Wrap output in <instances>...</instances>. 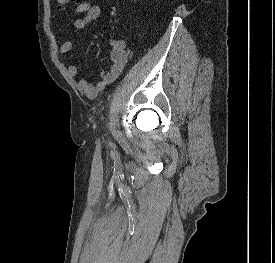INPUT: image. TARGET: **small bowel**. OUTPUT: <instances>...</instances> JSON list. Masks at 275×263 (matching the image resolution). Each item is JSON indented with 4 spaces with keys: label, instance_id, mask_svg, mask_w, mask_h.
<instances>
[{
    "label": "small bowel",
    "instance_id": "obj_1",
    "mask_svg": "<svg viewBox=\"0 0 275 263\" xmlns=\"http://www.w3.org/2000/svg\"><path fill=\"white\" fill-rule=\"evenodd\" d=\"M101 14V8L97 4L88 1L80 2L73 15L80 16L74 20V27L77 30L85 29L89 24L95 21ZM111 52L110 61L111 66L109 70L101 73L100 79L95 84H89L84 78L76 80V87L83 92L88 98H95L103 91L108 85L113 83L122 73L127 62V45L124 40L112 39L110 40ZM73 48L71 41H64L60 46V53L66 54ZM68 75L75 78L78 74V69L75 65L67 67Z\"/></svg>",
    "mask_w": 275,
    "mask_h": 263
}]
</instances>
